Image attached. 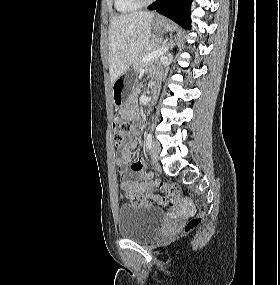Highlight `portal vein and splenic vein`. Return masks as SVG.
<instances>
[{
	"label": "portal vein and splenic vein",
	"mask_w": 280,
	"mask_h": 285,
	"mask_svg": "<svg viewBox=\"0 0 280 285\" xmlns=\"http://www.w3.org/2000/svg\"><path fill=\"white\" fill-rule=\"evenodd\" d=\"M167 51V48L166 47H161V48H158L156 49L155 51L145 55L142 59V62L143 63H147L151 60H154L158 57H160L162 54H164L165 52Z\"/></svg>",
	"instance_id": "1"
}]
</instances>
